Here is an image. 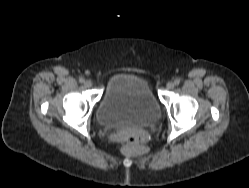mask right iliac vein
Listing matches in <instances>:
<instances>
[{
  "label": "right iliac vein",
  "mask_w": 249,
  "mask_h": 188,
  "mask_svg": "<svg viewBox=\"0 0 249 188\" xmlns=\"http://www.w3.org/2000/svg\"><path fill=\"white\" fill-rule=\"evenodd\" d=\"M85 87L90 88L92 86V83L90 80H87L84 82Z\"/></svg>",
  "instance_id": "1"
}]
</instances>
